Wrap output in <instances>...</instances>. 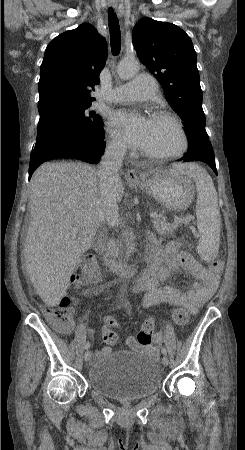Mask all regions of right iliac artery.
Returning a JSON list of instances; mask_svg holds the SVG:
<instances>
[{"mask_svg":"<svg viewBox=\"0 0 245 450\" xmlns=\"http://www.w3.org/2000/svg\"><path fill=\"white\" fill-rule=\"evenodd\" d=\"M89 347H90V343L88 342V343H86V345H85V349H89Z\"/></svg>","mask_w":245,"mask_h":450,"instance_id":"obj_1","label":"right iliac artery"}]
</instances>
